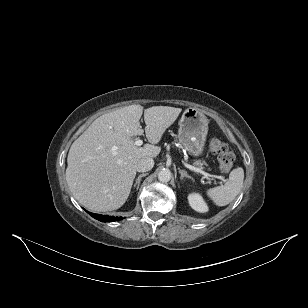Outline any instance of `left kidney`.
<instances>
[{
  "mask_svg": "<svg viewBox=\"0 0 308 308\" xmlns=\"http://www.w3.org/2000/svg\"><path fill=\"white\" fill-rule=\"evenodd\" d=\"M188 201H189L190 206L195 211L201 212V213L208 211V207H207L206 203L204 202L201 195H199L198 193L189 194Z\"/></svg>",
  "mask_w": 308,
  "mask_h": 308,
  "instance_id": "left-kidney-1",
  "label": "left kidney"
}]
</instances>
